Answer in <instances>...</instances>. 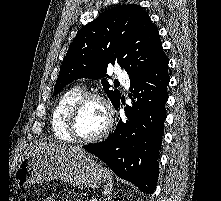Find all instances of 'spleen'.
<instances>
[{"mask_svg": "<svg viewBox=\"0 0 221 201\" xmlns=\"http://www.w3.org/2000/svg\"><path fill=\"white\" fill-rule=\"evenodd\" d=\"M106 174H107L108 184L105 186L104 194L110 195V193L112 191V187H113L112 176H111L109 170H107V169H106Z\"/></svg>", "mask_w": 221, "mask_h": 201, "instance_id": "obj_1", "label": "spleen"}]
</instances>
